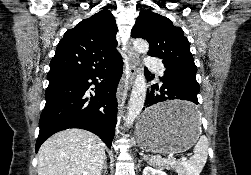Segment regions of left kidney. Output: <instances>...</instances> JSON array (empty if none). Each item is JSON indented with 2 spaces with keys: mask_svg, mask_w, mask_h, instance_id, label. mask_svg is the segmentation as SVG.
Returning <instances> with one entry per match:
<instances>
[{
  "mask_svg": "<svg viewBox=\"0 0 251 175\" xmlns=\"http://www.w3.org/2000/svg\"><path fill=\"white\" fill-rule=\"evenodd\" d=\"M143 175H167L165 171H162V169H154V167H150V165H147V167H144L143 169Z\"/></svg>",
  "mask_w": 251,
  "mask_h": 175,
  "instance_id": "obj_1",
  "label": "left kidney"
}]
</instances>
